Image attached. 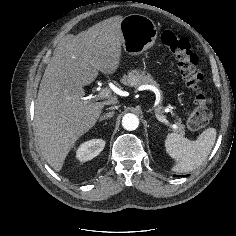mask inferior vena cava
Instances as JSON below:
<instances>
[{
    "label": "inferior vena cava",
    "instance_id": "1",
    "mask_svg": "<svg viewBox=\"0 0 236 236\" xmlns=\"http://www.w3.org/2000/svg\"><path fill=\"white\" fill-rule=\"evenodd\" d=\"M110 109H118V106L117 105H114V106H111Z\"/></svg>",
    "mask_w": 236,
    "mask_h": 236
}]
</instances>
